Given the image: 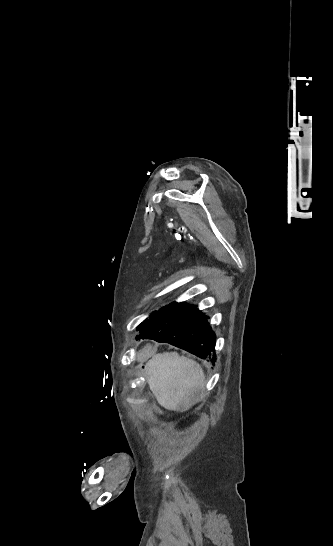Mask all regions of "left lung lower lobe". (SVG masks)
Wrapping results in <instances>:
<instances>
[{
    "label": "left lung lower lobe",
    "mask_w": 333,
    "mask_h": 546,
    "mask_svg": "<svg viewBox=\"0 0 333 546\" xmlns=\"http://www.w3.org/2000/svg\"><path fill=\"white\" fill-rule=\"evenodd\" d=\"M209 316L197 306L172 302L155 312L140 327L136 339H153L182 348L202 359L216 360V336L209 325Z\"/></svg>",
    "instance_id": "1"
}]
</instances>
